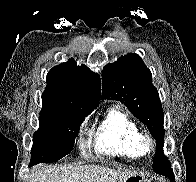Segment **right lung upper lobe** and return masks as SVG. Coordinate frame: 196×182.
I'll return each instance as SVG.
<instances>
[{
	"mask_svg": "<svg viewBox=\"0 0 196 182\" xmlns=\"http://www.w3.org/2000/svg\"><path fill=\"white\" fill-rule=\"evenodd\" d=\"M42 94V111H70L89 115L100 100L101 83L97 73L77 66L73 59L53 67Z\"/></svg>",
	"mask_w": 196,
	"mask_h": 182,
	"instance_id": "cb5924a9",
	"label": "right lung upper lobe"
}]
</instances>
